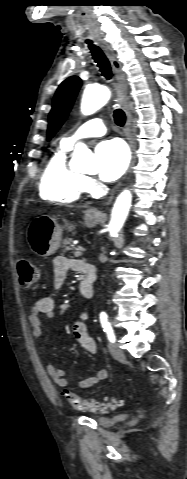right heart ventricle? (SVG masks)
I'll list each match as a JSON object with an SVG mask.
<instances>
[{
    "label": "right heart ventricle",
    "instance_id": "e07e8e85",
    "mask_svg": "<svg viewBox=\"0 0 187 479\" xmlns=\"http://www.w3.org/2000/svg\"><path fill=\"white\" fill-rule=\"evenodd\" d=\"M70 149L71 146L61 141L45 163L39 190L46 201L72 203L79 199L84 190V176L73 170L67 161Z\"/></svg>",
    "mask_w": 187,
    "mask_h": 479
}]
</instances>
